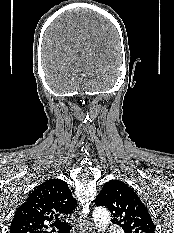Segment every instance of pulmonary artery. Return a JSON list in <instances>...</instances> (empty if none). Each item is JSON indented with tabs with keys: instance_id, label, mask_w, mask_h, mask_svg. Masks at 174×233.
I'll return each mask as SVG.
<instances>
[{
	"instance_id": "pulmonary-artery-1",
	"label": "pulmonary artery",
	"mask_w": 174,
	"mask_h": 233,
	"mask_svg": "<svg viewBox=\"0 0 174 233\" xmlns=\"http://www.w3.org/2000/svg\"><path fill=\"white\" fill-rule=\"evenodd\" d=\"M110 233H122L118 228L111 226L109 228Z\"/></svg>"
}]
</instances>
